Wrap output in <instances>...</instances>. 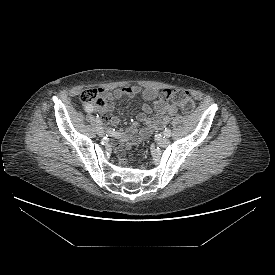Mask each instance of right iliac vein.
<instances>
[{"mask_svg":"<svg viewBox=\"0 0 275 275\" xmlns=\"http://www.w3.org/2000/svg\"><path fill=\"white\" fill-rule=\"evenodd\" d=\"M97 134L102 137L104 135V129L102 127V121L100 118H96Z\"/></svg>","mask_w":275,"mask_h":275,"instance_id":"1","label":"right iliac vein"}]
</instances>
